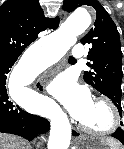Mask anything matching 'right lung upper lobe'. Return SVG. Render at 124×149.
<instances>
[{
	"label": "right lung upper lobe",
	"instance_id": "obj_1",
	"mask_svg": "<svg viewBox=\"0 0 124 149\" xmlns=\"http://www.w3.org/2000/svg\"><path fill=\"white\" fill-rule=\"evenodd\" d=\"M58 25V17L44 16L38 0H7L0 6V59L19 57L40 32Z\"/></svg>",
	"mask_w": 124,
	"mask_h": 149
}]
</instances>
